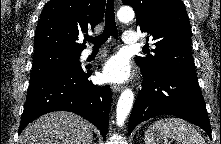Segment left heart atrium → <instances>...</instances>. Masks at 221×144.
Here are the masks:
<instances>
[{
	"mask_svg": "<svg viewBox=\"0 0 221 144\" xmlns=\"http://www.w3.org/2000/svg\"><path fill=\"white\" fill-rule=\"evenodd\" d=\"M131 76L129 61L122 55H115L108 59L102 71L104 81L121 83L128 80Z\"/></svg>",
	"mask_w": 221,
	"mask_h": 144,
	"instance_id": "1",
	"label": "left heart atrium"
}]
</instances>
